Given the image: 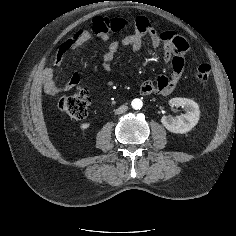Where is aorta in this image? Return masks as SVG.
I'll use <instances>...</instances> for the list:
<instances>
[{"label": "aorta", "mask_w": 236, "mask_h": 236, "mask_svg": "<svg viewBox=\"0 0 236 236\" xmlns=\"http://www.w3.org/2000/svg\"><path fill=\"white\" fill-rule=\"evenodd\" d=\"M131 106H132L133 109L139 110V109L142 108L143 102H142L141 99L136 98V99H133V100H132Z\"/></svg>", "instance_id": "1"}]
</instances>
